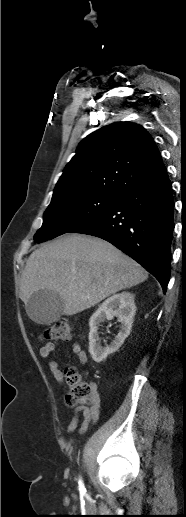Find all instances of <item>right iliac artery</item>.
<instances>
[{"mask_svg": "<svg viewBox=\"0 0 186 517\" xmlns=\"http://www.w3.org/2000/svg\"><path fill=\"white\" fill-rule=\"evenodd\" d=\"M79 490H80V491H84V490H85L84 485H83V482H82V480H81V479H79Z\"/></svg>", "mask_w": 186, "mask_h": 517, "instance_id": "82829eb1", "label": "right iliac artery"}]
</instances>
